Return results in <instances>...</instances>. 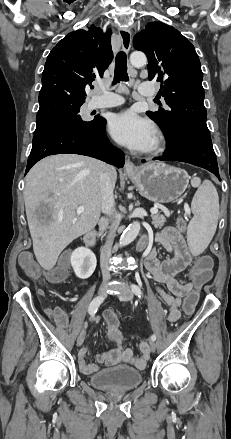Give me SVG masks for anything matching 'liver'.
Instances as JSON below:
<instances>
[{
    "label": "liver",
    "mask_w": 231,
    "mask_h": 439,
    "mask_svg": "<svg viewBox=\"0 0 231 439\" xmlns=\"http://www.w3.org/2000/svg\"><path fill=\"white\" fill-rule=\"evenodd\" d=\"M102 164L87 156L57 154L42 159L28 172L26 216L34 254L43 269L51 270L73 240L96 226L102 210ZM110 172L115 186L116 169L111 167ZM79 206L85 207L81 214L76 212Z\"/></svg>",
    "instance_id": "6515ba94"
}]
</instances>
